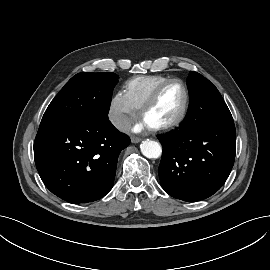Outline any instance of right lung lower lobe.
I'll return each instance as SVG.
<instances>
[{
	"mask_svg": "<svg viewBox=\"0 0 270 270\" xmlns=\"http://www.w3.org/2000/svg\"><path fill=\"white\" fill-rule=\"evenodd\" d=\"M130 143L107 115L41 122L34 157L45 186L70 203L104 197L113 187L118 156Z\"/></svg>",
	"mask_w": 270,
	"mask_h": 270,
	"instance_id": "98d812e1",
	"label": "right lung lower lobe"
}]
</instances>
